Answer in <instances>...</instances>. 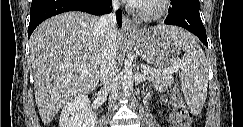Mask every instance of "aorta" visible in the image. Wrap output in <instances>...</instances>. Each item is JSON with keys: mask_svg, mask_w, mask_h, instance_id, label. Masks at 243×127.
<instances>
[{"mask_svg": "<svg viewBox=\"0 0 243 127\" xmlns=\"http://www.w3.org/2000/svg\"><path fill=\"white\" fill-rule=\"evenodd\" d=\"M122 89L125 96H130L133 90L132 66L129 61L124 63Z\"/></svg>", "mask_w": 243, "mask_h": 127, "instance_id": "obj_1", "label": "aorta"}]
</instances>
